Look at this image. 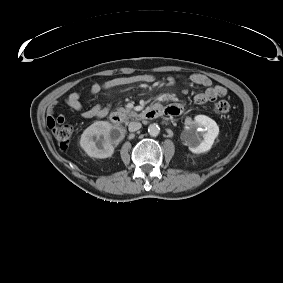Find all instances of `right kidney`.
Returning <instances> with one entry per match:
<instances>
[{
    "mask_svg": "<svg viewBox=\"0 0 283 283\" xmlns=\"http://www.w3.org/2000/svg\"><path fill=\"white\" fill-rule=\"evenodd\" d=\"M123 135L107 121H96L84 130L79 144L92 158L111 157L115 147L122 141Z\"/></svg>",
    "mask_w": 283,
    "mask_h": 283,
    "instance_id": "ca27d5eb",
    "label": "right kidney"
}]
</instances>
